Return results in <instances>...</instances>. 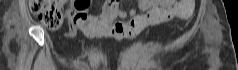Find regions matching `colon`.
Instances as JSON below:
<instances>
[{"mask_svg":"<svg viewBox=\"0 0 238 70\" xmlns=\"http://www.w3.org/2000/svg\"><path fill=\"white\" fill-rule=\"evenodd\" d=\"M109 3H116L110 0ZM78 1L75 2V4ZM30 9L39 20L50 29L59 28L64 20V11L56 0H30ZM194 10V0H179L178 5L172 12L173 17L186 19L191 16ZM170 14H167L169 16Z\"/></svg>","mask_w":238,"mask_h":70,"instance_id":"colon-1","label":"colon"}]
</instances>
